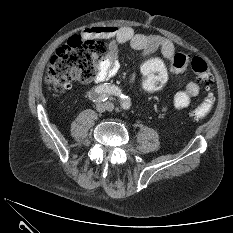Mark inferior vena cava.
Returning <instances> with one entry per match:
<instances>
[{"label": "inferior vena cava", "instance_id": "obj_1", "mask_svg": "<svg viewBox=\"0 0 233 233\" xmlns=\"http://www.w3.org/2000/svg\"><path fill=\"white\" fill-rule=\"evenodd\" d=\"M109 106H110V108H113V104L112 103H109Z\"/></svg>", "mask_w": 233, "mask_h": 233}]
</instances>
